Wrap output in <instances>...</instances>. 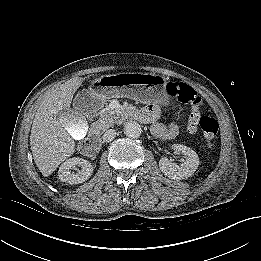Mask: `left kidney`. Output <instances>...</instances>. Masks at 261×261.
<instances>
[{"instance_id":"5707ae66","label":"left kidney","mask_w":261,"mask_h":261,"mask_svg":"<svg viewBox=\"0 0 261 261\" xmlns=\"http://www.w3.org/2000/svg\"><path fill=\"white\" fill-rule=\"evenodd\" d=\"M174 150L181 152L185 156V161L177 164L169 160L167 157H162L159 161V168L170 179H186L194 174L199 166V157L197 153L190 147L175 144Z\"/></svg>"}]
</instances>
